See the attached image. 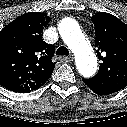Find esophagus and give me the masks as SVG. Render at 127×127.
<instances>
[{
  "label": "esophagus",
  "mask_w": 127,
  "mask_h": 127,
  "mask_svg": "<svg viewBox=\"0 0 127 127\" xmlns=\"http://www.w3.org/2000/svg\"><path fill=\"white\" fill-rule=\"evenodd\" d=\"M59 60L61 61V62H70V61H72L73 60V57H64V56H61V57H59Z\"/></svg>",
  "instance_id": "esophagus-1"
}]
</instances>
